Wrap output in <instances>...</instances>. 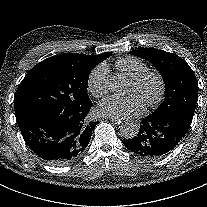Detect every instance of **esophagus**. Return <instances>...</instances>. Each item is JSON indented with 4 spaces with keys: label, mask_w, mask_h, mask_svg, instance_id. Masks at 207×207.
<instances>
[{
    "label": "esophagus",
    "mask_w": 207,
    "mask_h": 207,
    "mask_svg": "<svg viewBox=\"0 0 207 207\" xmlns=\"http://www.w3.org/2000/svg\"><path fill=\"white\" fill-rule=\"evenodd\" d=\"M108 119L112 122H115L117 127H122L124 125V120L122 118L108 117Z\"/></svg>",
    "instance_id": "1"
}]
</instances>
